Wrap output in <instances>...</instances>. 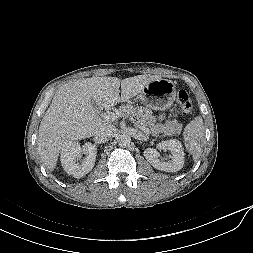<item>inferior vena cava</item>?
I'll use <instances>...</instances> for the list:
<instances>
[{"label":"inferior vena cava","instance_id":"602c4592","mask_svg":"<svg viewBox=\"0 0 253 253\" xmlns=\"http://www.w3.org/2000/svg\"><path fill=\"white\" fill-rule=\"evenodd\" d=\"M116 133L115 126L111 124H103L96 132V139L99 143L108 142Z\"/></svg>","mask_w":253,"mask_h":253}]
</instances>
